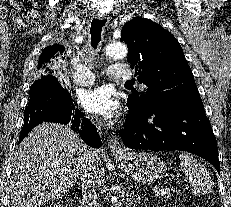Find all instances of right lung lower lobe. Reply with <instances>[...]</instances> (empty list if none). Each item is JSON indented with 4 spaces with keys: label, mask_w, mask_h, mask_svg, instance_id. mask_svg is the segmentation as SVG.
Masks as SVG:
<instances>
[{
    "label": "right lung lower lobe",
    "mask_w": 231,
    "mask_h": 207,
    "mask_svg": "<svg viewBox=\"0 0 231 207\" xmlns=\"http://www.w3.org/2000/svg\"><path fill=\"white\" fill-rule=\"evenodd\" d=\"M30 101L24 112V125L19 142L42 122L71 123L86 144L93 148L101 147L97 128L89 119H81L83 113L75 108L70 94L62 88L54 76L42 77L30 87Z\"/></svg>",
    "instance_id": "98d812e1"
}]
</instances>
